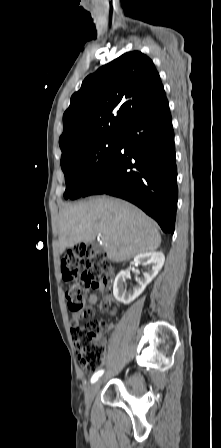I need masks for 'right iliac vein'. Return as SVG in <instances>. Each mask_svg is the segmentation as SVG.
Returning a JSON list of instances; mask_svg holds the SVG:
<instances>
[{
	"label": "right iliac vein",
	"instance_id": "right-iliac-vein-1",
	"mask_svg": "<svg viewBox=\"0 0 221 448\" xmlns=\"http://www.w3.org/2000/svg\"><path fill=\"white\" fill-rule=\"evenodd\" d=\"M101 382H102V379L97 380L94 384H92L89 387L88 391L86 392L85 402H86L87 407L91 406L94 397L96 396L97 392L100 389Z\"/></svg>",
	"mask_w": 221,
	"mask_h": 448
}]
</instances>
